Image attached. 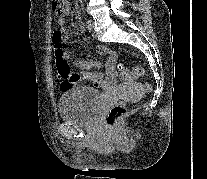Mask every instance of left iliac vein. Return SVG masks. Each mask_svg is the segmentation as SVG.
Returning <instances> with one entry per match:
<instances>
[{"label":"left iliac vein","mask_w":207,"mask_h":179,"mask_svg":"<svg viewBox=\"0 0 207 179\" xmlns=\"http://www.w3.org/2000/svg\"><path fill=\"white\" fill-rule=\"evenodd\" d=\"M88 28H89V30L90 31H92L93 30V27H94V25H93V21L92 20H88Z\"/></svg>","instance_id":"left-iliac-vein-1"}]
</instances>
